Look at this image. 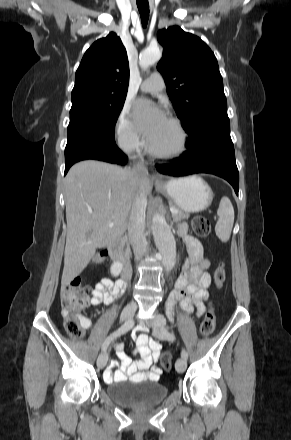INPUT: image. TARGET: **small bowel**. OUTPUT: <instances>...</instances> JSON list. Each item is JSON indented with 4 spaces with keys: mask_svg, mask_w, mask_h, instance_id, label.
<instances>
[{
    "mask_svg": "<svg viewBox=\"0 0 291 440\" xmlns=\"http://www.w3.org/2000/svg\"><path fill=\"white\" fill-rule=\"evenodd\" d=\"M179 235L187 248L188 257L183 265V272L177 279L173 292L166 303V310L169 317H172L174 306L180 303L183 310L188 313L194 312L200 317L205 312V301L208 299V287L210 276L207 269L210 261L203 254L201 242L190 235H187L185 225H180ZM125 285L117 280L104 279L95 285L92 295L94 306L100 304L109 305L113 303L124 291ZM79 323L84 329L92 327V319L89 316H81ZM136 340L135 353L141 359L133 362L122 351V345L117 344L119 361H112L104 372L106 381H122L129 377L131 380H154L157 379L162 369L156 365L161 355V344L151 340L146 334L138 335L133 333Z\"/></svg>",
    "mask_w": 291,
    "mask_h": 440,
    "instance_id": "obj_1",
    "label": "small bowel"
}]
</instances>
